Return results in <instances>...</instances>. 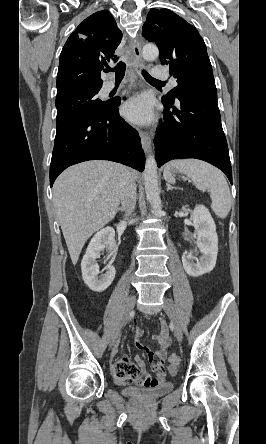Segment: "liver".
I'll return each instance as SVG.
<instances>
[{
  "instance_id": "1",
  "label": "liver",
  "mask_w": 266,
  "mask_h": 444,
  "mask_svg": "<svg viewBox=\"0 0 266 444\" xmlns=\"http://www.w3.org/2000/svg\"><path fill=\"white\" fill-rule=\"evenodd\" d=\"M126 170L121 164L94 160L71 166L56 179L53 204L74 265L88 238L115 217ZM129 172L137 177L136 171Z\"/></svg>"
}]
</instances>
